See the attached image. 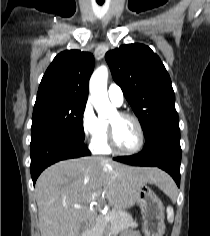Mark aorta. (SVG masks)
<instances>
[{
    "mask_svg": "<svg viewBox=\"0 0 210 236\" xmlns=\"http://www.w3.org/2000/svg\"><path fill=\"white\" fill-rule=\"evenodd\" d=\"M108 68L105 65L98 67L92 74L89 82L90 95L94 107L101 118H107L116 112L111 105L107 93Z\"/></svg>",
    "mask_w": 210,
    "mask_h": 236,
    "instance_id": "obj_1",
    "label": "aorta"
}]
</instances>
